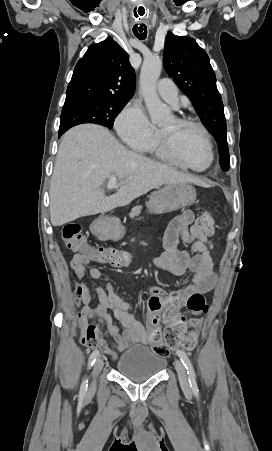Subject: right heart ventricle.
I'll return each mask as SVG.
<instances>
[{
	"mask_svg": "<svg viewBox=\"0 0 272 451\" xmlns=\"http://www.w3.org/2000/svg\"><path fill=\"white\" fill-rule=\"evenodd\" d=\"M142 148L147 149L148 151H151V152H153V151L161 152V138H160V135L157 134L155 136L154 140L150 144H148V145H146L145 147H142Z\"/></svg>",
	"mask_w": 272,
	"mask_h": 451,
	"instance_id": "e07e8e85",
	"label": "right heart ventricle"
}]
</instances>
